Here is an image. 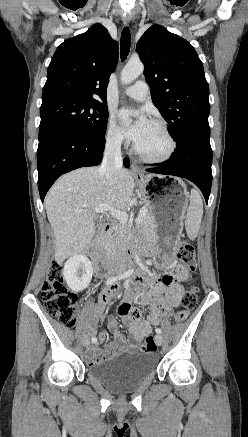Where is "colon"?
Masks as SVG:
<instances>
[{
    "label": "colon",
    "instance_id": "colon-1",
    "mask_svg": "<svg viewBox=\"0 0 248 437\" xmlns=\"http://www.w3.org/2000/svg\"><path fill=\"white\" fill-rule=\"evenodd\" d=\"M178 259L190 270L196 268L195 251L191 244L179 241L176 247ZM41 297L48 313L56 317L67 327H74L78 320V298L70 291L63 275L62 266L53 263L47 273L41 287ZM198 301V289L192 285L183 295L181 304L182 309L175 315L176 322L185 321L190 311L196 306ZM157 349L153 337L149 336L141 346L144 353L155 352Z\"/></svg>",
    "mask_w": 248,
    "mask_h": 437
}]
</instances>
